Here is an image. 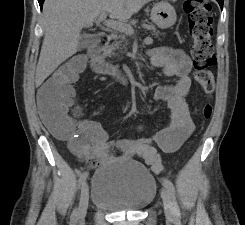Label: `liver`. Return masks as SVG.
I'll list each match as a JSON object with an SVG mask.
<instances>
[{"label": "liver", "instance_id": "6515ba94", "mask_svg": "<svg viewBox=\"0 0 245 225\" xmlns=\"http://www.w3.org/2000/svg\"><path fill=\"white\" fill-rule=\"evenodd\" d=\"M151 0H46L43 5L44 39L35 82H42L78 49L80 32L101 13L127 21Z\"/></svg>", "mask_w": 245, "mask_h": 225}]
</instances>
